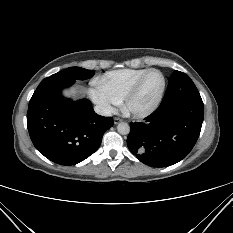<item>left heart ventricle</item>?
Listing matches in <instances>:
<instances>
[{
  "label": "left heart ventricle",
  "mask_w": 233,
  "mask_h": 233,
  "mask_svg": "<svg viewBox=\"0 0 233 233\" xmlns=\"http://www.w3.org/2000/svg\"><path fill=\"white\" fill-rule=\"evenodd\" d=\"M162 87V77L157 72L150 73L144 80L140 91L132 101L136 110L145 109L157 98Z\"/></svg>",
  "instance_id": "left-heart-ventricle-1"
}]
</instances>
